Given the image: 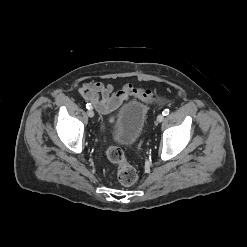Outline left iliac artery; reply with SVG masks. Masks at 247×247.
<instances>
[{"label":"left iliac artery","instance_id":"1","mask_svg":"<svg viewBox=\"0 0 247 247\" xmlns=\"http://www.w3.org/2000/svg\"><path fill=\"white\" fill-rule=\"evenodd\" d=\"M162 114H163L164 116H167V115L169 114V109H165V110L162 112Z\"/></svg>","mask_w":247,"mask_h":247}]
</instances>
